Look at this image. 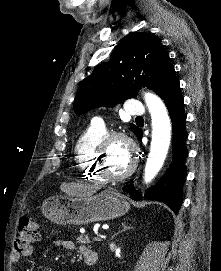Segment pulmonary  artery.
<instances>
[{"mask_svg":"<svg viewBox=\"0 0 221 271\" xmlns=\"http://www.w3.org/2000/svg\"><path fill=\"white\" fill-rule=\"evenodd\" d=\"M125 112H144L145 108L143 102H134V98H127V102L124 103ZM132 116V113H129ZM96 122H87V127H105V122L103 117H96ZM92 133H107V128H92L90 130ZM93 135L90 133H82V138H91Z\"/></svg>","mask_w":221,"mask_h":271,"instance_id":"pulmonary-artery-1","label":"pulmonary artery"}]
</instances>
